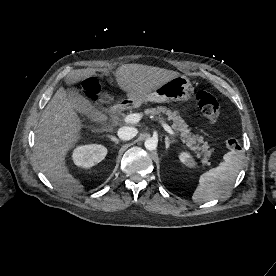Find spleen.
Listing matches in <instances>:
<instances>
[{
    "label": "spleen",
    "mask_w": 276,
    "mask_h": 276,
    "mask_svg": "<svg viewBox=\"0 0 276 276\" xmlns=\"http://www.w3.org/2000/svg\"><path fill=\"white\" fill-rule=\"evenodd\" d=\"M244 155L240 150H232L223 156V162L199 177V184L192 199L196 203L219 198L234 183L242 167Z\"/></svg>",
    "instance_id": "3e777b00"
}]
</instances>
